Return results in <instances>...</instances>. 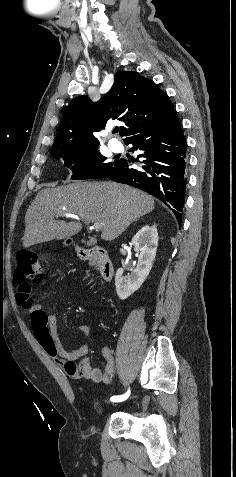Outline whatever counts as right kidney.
Instances as JSON below:
<instances>
[{
	"label": "right kidney",
	"mask_w": 236,
	"mask_h": 477,
	"mask_svg": "<svg viewBox=\"0 0 236 477\" xmlns=\"http://www.w3.org/2000/svg\"><path fill=\"white\" fill-rule=\"evenodd\" d=\"M131 244L139 254L137 267L124 277V269L119 268L115 275V286L118 297L127 299L137 291L150 273L158 246V232L155 225H145L132 238Z\"/></svg>",
	"instance_id": "1"
}]
</instances>
